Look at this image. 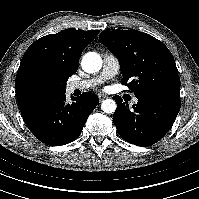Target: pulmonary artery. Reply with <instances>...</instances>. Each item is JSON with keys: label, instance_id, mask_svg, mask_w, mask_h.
<instances>
[{"label": "pulmonary artery", "instance_id": "obj_1", "mask_svg": "<svg viewBox=\"0 0 199 199\" xmlns=\"http://www.w3.org/2000/svg\"><path fill=\"white\" fill-rule=\"evenodd\" d=\"M102 59L103 66L99 75L90 79L77 80L69 83V85L67 86L68 92L71 93L76 90H89L94 88L98 84L115 77L120 69L118 58L113 54L106 53L103 55ZM132 103L137 104L138 99L133 98Z\"/></svg>", "mask_w": 199, "mask_h": 199}]
</instances>
